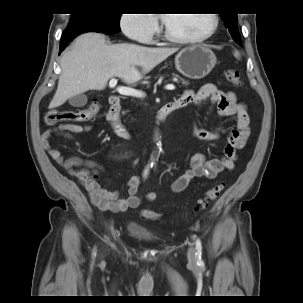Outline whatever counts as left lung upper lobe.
Returning <instances> with one entry per match:
<instances>
[{"label": "left lung upper lobe", "mask_w": 303, "mask_h": 303, "mask_svg": "<svg viewBox=\"0 0 303 303\" xmlns=\"http://www.w3.org/2000/svg\"><path fill=\"white\" fill-rule=\"evenodd\" d=\"M225 22L226 27L229 29L230 33L232 34L234 40L239 43V35L237 33V14H229V13H222L220 14Z\"/></svg>", "instance_id": "obj_1"}]
</instances>
